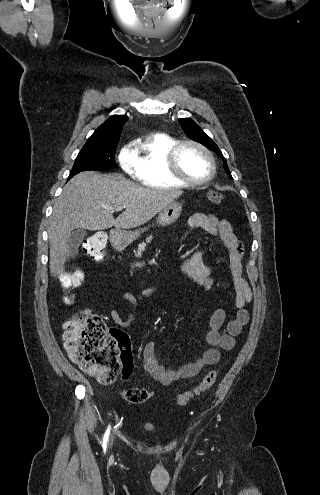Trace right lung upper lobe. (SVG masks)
Wrapping results in <instances>:
<instances>
[{"label":"right lung upper lobe","mask_w":320,"mask_h":495,"mask_svg":"<svg viewBox=\"0 0 320 495\" xmlns=\"http://www.w3.org/2000/svg\"><path fill=\"white\" fill-rule=\"evenodd\" d=\"M124 115H112L90 136L84 146H101L118 144L124 123Z\"/></svg>","instance_id":"cb5924a9"}]
</instances>
